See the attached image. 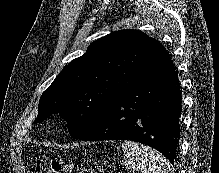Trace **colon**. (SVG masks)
Instances as JSON below:
<instances>
[{
    "label": "colon",
    "instance_id": "5ec220e1",
    "mask_svg": "<svg viewBox=\"0 0 219 173\" xmlns=\"http://www.w3.org/2000/svg\"><path fill=\"white\" fill-rule=\"evenodd\" d=\"M93 173L89 169L75 170L71 165L59 159H40L34 173Z\"/></svg>",
    "mask_w": 219,
    "mask_h": 173
}]
</instances>
